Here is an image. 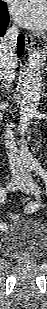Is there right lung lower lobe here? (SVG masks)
<instances>
[{
  "label": "right lung lower lobe",
  "mask_w": 47,
  "mask_h": 309,
  "mask_svg": "<svg viewBox=\"0 0 47 309\" xmlns=\"http://www.w3.org/2000/svg\"><path fill=\"white\" fill-rule=\"evenodd\" d=\"M9 23V15L7 10L6 3L2 2L0 5V36H4L6 28ZM24 49V39L22 35L18 36V43H17V54L21 56Z\"/></svg>",
  "instance_id": "obj_1"
}]
</instances>
